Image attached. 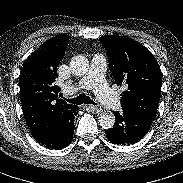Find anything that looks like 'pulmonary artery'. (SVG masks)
Masks as SVG:
<instances>
[{"label": "pulmonary artery", "mask_w": 183, "mask_h": 183, "mask_svg": "<svg viewBox=\"0 0 183 183\" xmlns=\"http://www.w3.org/2000/svg\"><path fill=\"white\" fill-rule=\"evenodd\" d=\"M106 67V58L102 54H95L88 73L75 86L68 87L66 91L73 93L79 90L93 89L105 106L113 110L119 109L120 101L105 80Z\"/></svg>", "instance_id": "e3ab8cb5"}]
</instances>
